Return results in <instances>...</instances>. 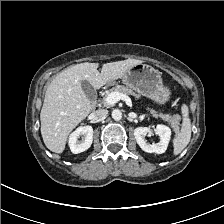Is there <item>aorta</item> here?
<instances>
[{
	"mask_svg": "<svg viewBox=\"0 0 224 224\" xmlns=\"http://www.w3.org/2000/svg\"><path fill=\"white\" fill-rule=\"evenodd\" d=\"M112 118L115 120V121H119L121 120L122 118V112L119 110V109H114L112 111Z\"/></svg>",
	"mask_w": 224,
	"mask_h": 224,
	"instance_id": "762f6f07",
	"label": "aorta"
}]
</instances>
